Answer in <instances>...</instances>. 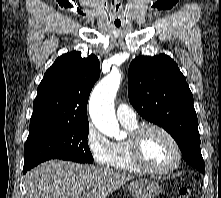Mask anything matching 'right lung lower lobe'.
Listing matches in <instances>:
<instances>
[{
    "instance_id": "obj_1",
    "label": "right lung lower lobe",
    "mask_w": 221,
    "mask_h": 198,
    "mask_svg": "<svg viewBox=\"0 0 221 198\" xmlns=\"http://www.w3.org/2000/svg\"><path fill=\"white\" fill-rule=\"evenodd\" d=\"M30 170V169H29ZM28 170H23V173L25 174Z\"/></svg>"
}]
</instances>
